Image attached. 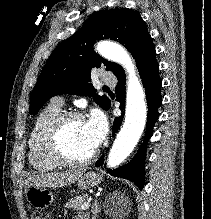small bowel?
Listing matches in <instances>:
<instances>
[{"mask_svg":"<svg viewBox=\"0 0 211 219\" xmlns=\"http://www.w3.org/2000/svg\"><path fill=\"white\" fill-rule=\"evenodd\" d=\"M76 219H85V218L82 216H77Z\"/></svg>","mask_w":211,"mask_h":219,"instance_id":"small-bowel-1","label":"small bowel"}]
</instances>
